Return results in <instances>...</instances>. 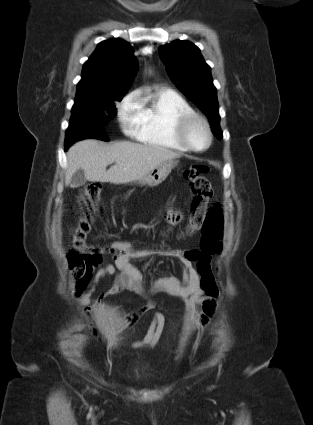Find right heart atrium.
I'll use <instances>...</instances> for the list:
<instances>
[{"label": "right heart atrium", "instance_id": "d8ad5b80", "mask_svg": "<svg viewBox=\"0 0 313 425\" xmlns=\"http://www.w3.org/2000/svg\"><path fill=\"white\" fill-rule=\"evenodd\" d=\"M118 118L123 130L134 134L140 119V100L136 92L126 95L118 106Z\"/></svg>", "mask_w": 313, "mask_h": 425}]
</instances>
